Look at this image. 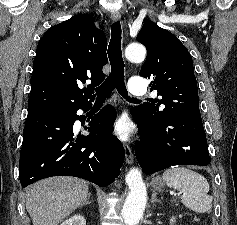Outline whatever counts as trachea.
<instances>
[{"label":"trachea","instance_id":"3493384b","mask_svg":"<svg viewBox=\"0 0 237 225\" xmlns=\"http://www.w3.org/2000/svg\"><path fill=\"white\" fill-rule=\"evenodd\" d=\"M121 33V25L120 22L117 21L111 27V40L108 46L111 73L104 83L96 89L97 100H105L115 88L123 98H127L128 96L124 82L125 65L121 51ZM131 100L133 101L134 99L132 98Z\"/></svg>","mask_w":237,"mask_h":225}]
</instances>
